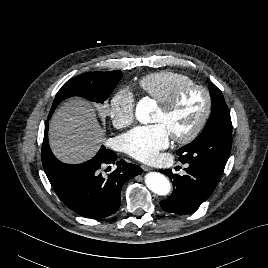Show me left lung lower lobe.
<instances>
[{"label":"left lung lower lobe","mask_w":268,"mask_h":268,"mask_svg":"<svg viewBox=\"0 0 268 268\" xmlns=\"http://www.w3.org/2000/svg\"><path fill=\"white\" fill-rule=\"evenodd\" d=\"M173 182V192L160 202L162 209L176 214L195 212L216 188L220 177L207 167L189 165L186 175L173 174L171 170H160Z\"/></svg>","instance_id":"left-lung-lower-lobe-1"}]
</instances>
